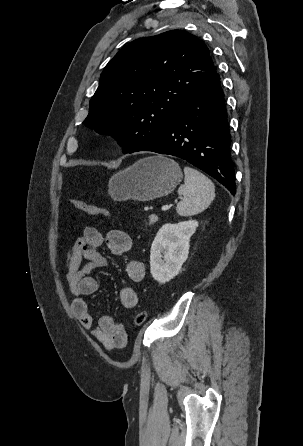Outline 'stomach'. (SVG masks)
<instances>
[{
	"mask_svg": "<svg viewBox=\"0 0 303 446\" xmlns=\"http://www.w3.org/2000/svg\"><path fill=\"white\" fill-rule=\"evenodd\" d=\"M178 163L157 155L140 159L109 180V194L115 201H149L170 194L181 182Z\"/></svg>",
	"mask_w": 303,
	"mask_h": 446,
	"instance_id": "obj_1",
	"label": "stomach"
}]
</instances>
